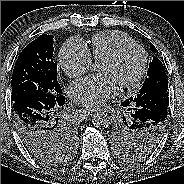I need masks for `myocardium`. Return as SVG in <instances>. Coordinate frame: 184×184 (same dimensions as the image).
Wrapping results in <instances>:
<instances>
[{
	"label": "myocardium",
	"instance_id": "obj_1",
	"mask_svg": "<svg viewBox=\"0 0 184 184\" xmlns=\"http://www.w3.org/2000/svg\"><path fill=\"white\" fill-rule=\"evenodd\" d=\"M130 51H136L139 53L141 57V63L136 74L130 80L120 84V87L125 90L135 88L142 80L148 66V54L146 50L140 45H137L135 43L128 44L118 48L114 53L110 54L109 56L101 60L103 62L115 64L119 62L122 59V57Z\"/></svg>",
	"mask_w": 184,
	"mask_h": 184
}]
</instances>
